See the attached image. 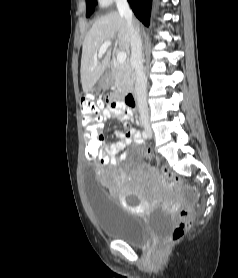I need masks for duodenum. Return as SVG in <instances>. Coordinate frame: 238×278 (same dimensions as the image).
<instances>
[{
	"instance_id": "obj_1",
	"label": "duodenum",
	"mask_w": 238,
	"mask_h": 278,
	"mask_svg": "<svg viewBox=\"0 0 238 278\" xmlns=\"http://www.w3.org/2000/svg\"><path fill=\"white\" fill-rule=\"evenodd\" d=\"M125 101L129 107H136L137 105V95L134 91L129 92L126 95Z\"/></svg>"
}]
</instances>
